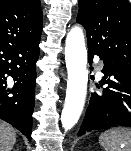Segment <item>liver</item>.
Here are the masks:
<instances>
[{"label":"liver","instance_id":"liver-1","mask_svg":"<svg viewBox=\"0 0 131 151\" xmlns=\"http://www.w3.org/2000/svg\"><path fill=\"white\" fill-rule=\"evenodd\" d=\"M15 142V130L9 124L0 121V151H11Z\"/></svg>","mask_w":131,"mask_h":151}]
</instances>
